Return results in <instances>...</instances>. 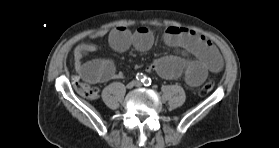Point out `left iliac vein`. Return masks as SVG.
<instances>
[{"label": "left iliac vein", "mask_w": 279, "mask_h": 148, "mask_svg": "<svg viewBox=\"0 0 279 148\" xmlns=\"http://www.w3.org/2000/svg\"><path fill=\"white\" fill-rule=\"evenodd\" d=\"M135 86H136V87H141L142 84H141L140 82H135Z\"/></svg>", "instance_id": "4c4485c4"}]
</instances>
